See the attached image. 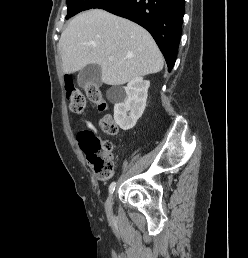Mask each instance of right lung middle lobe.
I'll use <instances>...</instances> for the list:
<instances>
[{
    "mask_svg": "<svg viewBox=\"0 0 248 258\" xmlns=\"http://www.w3.org/2000/svg\"><path fill=\"white\" fill-rule=\"evenodd\" d=\"M109 1L111 0H67L68 14L66 19H69L81 11L97 8L98 6Z\"/></svg>",
    "mask_w": 248,
    "mask_h": 258,
    "instance_id": "right-lung-middle-lobe-1",
    "label": "right lung middle lobe"
}]
</instances>
